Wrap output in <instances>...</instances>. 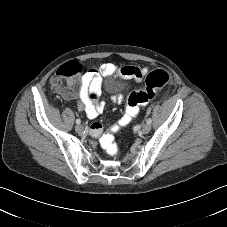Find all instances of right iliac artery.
<instances>
[{
    "mask_svg": "<svg viewBox=\"0 0 227 227\" xmlns=\"http://www.w3.org/2000/svg\"><path fill=\"white\" fill-rule=\"evenodd\" d=\"M80 123H81L80 119H76V124H80Z\"/></svg>",
    "mask_w": 227,
    "mask_h": 227,
    "instance_id": "obj_1",
    "label": "right iliac artery"
}]
</instances>
